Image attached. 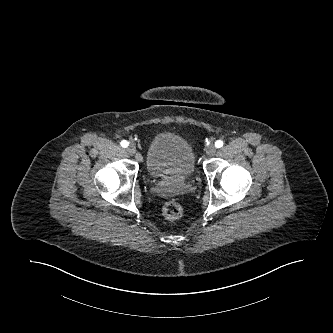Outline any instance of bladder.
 Here are the masks:
<instances>
[{
	"label": "bladder",
	"instance_id": "31cf9c89",
	"mask_svg": "<svg viewBox=\"0 0 333 333\" xmlns=\"http://www.w3.org/2000/svg\"><path fill=\"white\" fill-rule=\"evenodd\" d=\"M146 169L155 181L190 179L195 171L193 149L182 136L160 132L148 144Z\"/></svg>",
	"mask_w": 333,
	"mask_h": 333
}]
</instances>
